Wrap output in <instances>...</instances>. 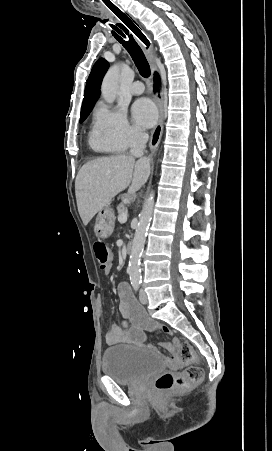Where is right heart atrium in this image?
I'll return each mask as SVG.
<instances>
[{"instance_id":"1","label":"right heart atrium","mask_w":272,"mask_h":451,"mask_svg":"<svg viewBox=\"0 0 272 451\" xmlns=\"http://www.w3.org/2000/svg\"><path fill=\"white\" fill-rule=\"evenodd\" d=\"M95 118L96 135L119 149L127 148L137 134V130L129 123L123 108L100 105Z\"/></svg>"}]
</instances>
